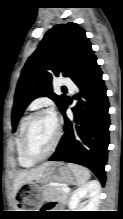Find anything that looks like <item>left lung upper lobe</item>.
<instances>
[{"label": "left lung upper lobe", "instance_id": "obj_1", "mask_svg": "<svg viewBox=\"0 0 123 219\" xmlns=\"http://www.w3.org/2000/svg\"><path fill=\"white\" fill-rule=\"evenodd\" d=\"M94 56L84 29L77 24H60L49 30L29 57L18 81L12 110L13 130L25 108L35 98L48 96L62 110L67 98L53 93V77L62 74L73 79Z\"/></svg>", "mask_w": 123, "mask_h": 219}]
</instances>
